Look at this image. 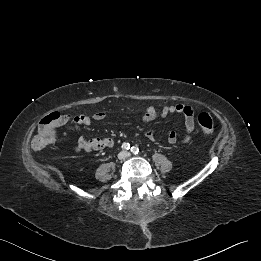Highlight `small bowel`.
Wrapping results in <instances>:
<instances>
[{
	"label": "small bowel",
	"instance_id": "1",
	"mask_svg": "<svg viewBox=\"0 0 261 261\" xmlns=\"http://www.w3.org/2000/svg\"><path fill=\"white\" fill-rule=\"evenodd\" d=\"M183 114L184 125H185V136L183 138V143H189L192 139V135L195 130V111L189 105L178 104L165 106L162 109H156L153 106H149L144 109L142 114V119L144 122L152 121L158 117H166L173 114ZM106 117L103 111H97L92 115L81 114L75 116L70 125L72 127L89 126L92 122L102 121ZM146 138L149 141H154L156 139V133L154 130H149L146 133ZM167 140L170 144H175L178 141V135L175 131H170L167 135ZM115 145V141L110 137H94L88 138L81 136L78 138L77 143L74 145L75 152H86L90 153L93 151H100L105 148H112Z\"/></svg>",
	"mask_w": 261,
	"mask_h": 261
}]
</instances>
